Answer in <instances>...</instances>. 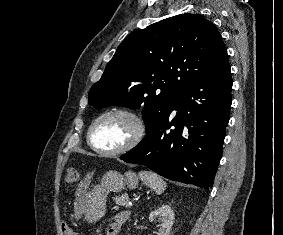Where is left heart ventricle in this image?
<instances>
[{"mask_svg": "<svg viewBox=\"0 0 283 235\" xmlns=\"http://www.w3.org/2000/svg\"><path fill=\"white\" fill-rule=\"evenodd\" d=\"M134 130L132 122L120 115L104 118L93 133V143L104 150L116 149L125 144Z\"/></svg>", "mask_w": 283, "mask_h": 235, "instance_id": "b2bd125f", "label": "left heart ventricle"}]
</instances>
